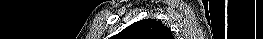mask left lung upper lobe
Instances as JSON below:
<instances>
[{
    "instance_id": "1",
    "label": "left lung upper lobe",
    "mask_w": 263,
    "mask_h": 39,
    "mask_svg": "<svg viewBox=\"0 0 263 39\" xmlns=\"http://www.w3.org/2000/svg\"><path fill=\"white\" fill-rule=\"evenodd\" d=\"M115 39H174L172 32L155 19L137 21L123 29Z\"/></svg>"
}]
</instances>
